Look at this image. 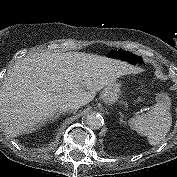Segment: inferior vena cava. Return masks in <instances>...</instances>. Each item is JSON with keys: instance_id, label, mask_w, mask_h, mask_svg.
Instances as JSON below:
<instances>
[{"instance_id": "inferior-vena-cava-1", "label": "inferior vena cava", "mask_w": 177, "mask_h": 177, "mask_svg": "<svg viewBox=\"0 0 177 177\" xmlns=\"http://www.w3.org/2000/svg\"><path fill=\"white\" fill-rule=\"evenodd\" d=\"M80 107V104L78 102H66L63 103L59 108L61 112L65 111H76Z\"/></svg>"}]
</instances>
